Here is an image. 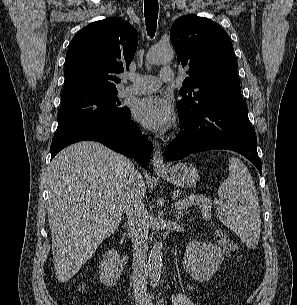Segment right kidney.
Wrapping results in <instances>:
<instances>
[{"label":"right kidney","instance_id":"obj_1","mask_svg":"<svg viewBox=\"0 0 297 305\" xmlns=\"http://www.w3.org/2000/svg\"><path fill=\"white\" fill-rule=\"evenodd\" d=\"M123 260L114 250H108L99 265V279L106 287L117 284L123 272Z\"/></svg>","mask_w":297,"mask_h":305}]
</instances>
